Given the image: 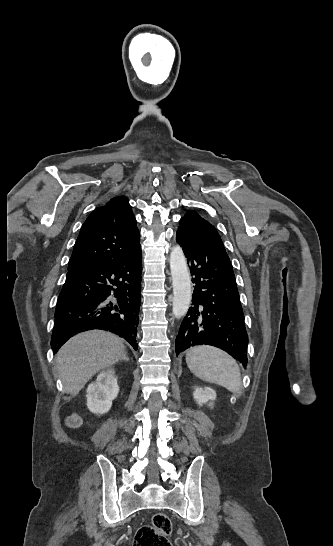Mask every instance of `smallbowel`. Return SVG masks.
<instances>
[{"label": "small bowel", "instance_id": "1", "mask_svg": "<svg viewBox=\"0 0 333 546\" xmlns=\"http://www.w3.org/2000/svg\"><path fill=\"white\" fill-rule=\"evenodd\" d=\"M77 422V420L75 418H72L69 422V425H74L75 423Z\"/></svg>", "mask_w": 333, "mask_h": 546}]
</instances>
